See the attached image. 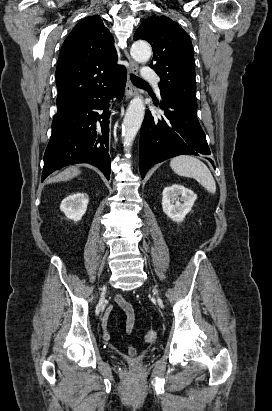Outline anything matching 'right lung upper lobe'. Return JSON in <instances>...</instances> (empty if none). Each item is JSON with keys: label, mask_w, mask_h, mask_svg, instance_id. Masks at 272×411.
Masks as SVG:
<instances>
[{"label": "right lung upper lobe", "mask_w": 272, "mask_h": 411, "mask_svg": "<svg viewBox=\"0 0 272 411\" xmlns=\"http://www.w3.org/2000/svg\"><path fill=\"white\" fill-rule=\"evenodd\" d=\"M114 39L99 16L79 22L64 41L56 69L57 107L109 83L124 68L117 65Z\"/></svg>", "instance_id": "obj_1"}]
</instances>
